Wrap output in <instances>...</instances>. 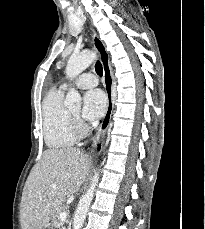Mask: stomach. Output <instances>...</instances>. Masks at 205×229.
Masks as SVG:
<instances>
[{
	"label": "stomach",
	"mask_w": 205,
	"mask_h": 229,
	"mask_svg": "<svg viewBox=\"0 0 205 229\" xmlns=\"http://www.w3.org/2000/svg\"><path fill=\"white\" fill-rule=\"evenodd\" d=\"M42 229H53V225L51 223H48L46 226H44Z\"/></svg>",
	"instance_id": "stomach-1"
}]
</instances>
